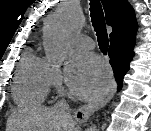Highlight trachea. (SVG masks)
<instances>
[{"instance_id":"1","label":"trachea","mask_w":151,"mask_h":131,"mask_svg":"<svg viewBox=\"0 0 151 131\" xmlns=\"http://www.w3.org/2000/svg\"><path fill=\"white\" fill-rule=\"evenodd\" d=\"M90 12L91 22L94 30L96 31L99 48L101 52L106 55L109 46V40L104 13L99 0H90Z\"/></svg>"}]
</instances>
